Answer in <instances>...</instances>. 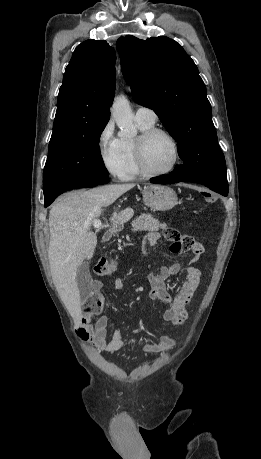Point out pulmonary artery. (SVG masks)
I'll return each mask as SVG.
<instances>
[{
	"label": "pulmonary artery",
	"instance_id": "obj_1",
	"mask_svg": "<svg viewBox=\"0 0 261 459\" xmlns=\"http://www.w3.org/2000/svg\"><path fill=\"white\" fill-rule=\"evenodd\" d=\"M135 117L137 120H142L146 122H155L157 120L156 113L147 107L140 106L137 108Z\"/></svg>",
	"mask_w": 261,
	"mask_h": 459
}]
</instances>
